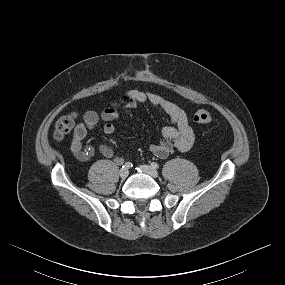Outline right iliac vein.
<instances>
[{
    "instance_id": "63e3f726",
    "label": "right iliac vein",
    "mask_w": 285,
    "mask_h": 285,
    "mask_svg": "<svg viewBox=\"0 0 285 285\" xmlns=\"http://www.w3.org/2000/svg\"><path fill=\"white\" fill-rule=\"evenodd\" d=\"M119 175H120V177H121L122 179L127 178L128 175H129L128 169H121V170L119 171Z\"/></svg>"
}]
</instances>
